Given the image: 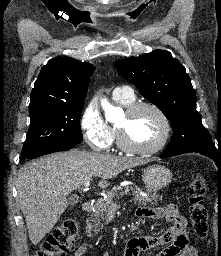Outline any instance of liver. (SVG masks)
<instances>
[{
	"label": "liver",
	"instance_id": "liver-1",
	"mask_svg": "<svg viewBox=\"0 0 221 256\" xmlns=\"http://www.w3.org/2000/svg\"><path fill=\"white\" fill-rule=\"evenodd\" d=\"M147 160L79 150L46 155L21 167L16 188L31 242L38 244L69 205L67 195L92 177L106 188L119 173Z\"/></svg>",
	"mask_w": 221,
	"mask_h": 256
}]
</instances>
